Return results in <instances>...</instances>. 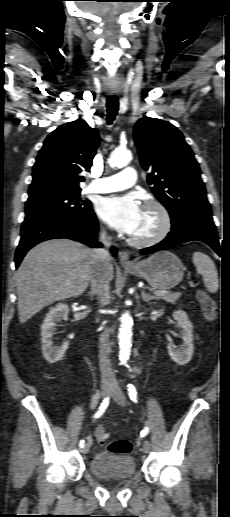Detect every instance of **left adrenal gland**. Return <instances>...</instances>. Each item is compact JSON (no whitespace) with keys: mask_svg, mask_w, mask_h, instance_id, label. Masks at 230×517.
<instances>
[{"mask_svg":"<svg viewBox=\"0 0 230 517\" xmlns=\"http://www.w3.org/2000/svg\"><path fill=\"white\" fill-rule=\"evenodd\" d=\"M141 296H142L143 301H145V302H149L150 300L157 299L155 296L146 294L144 291H141Z\"/></svg>","mask_w":230,"mask_h":517,"instance_id":"left-adrenal-gland-1","label":"left adrenal gland"}]
</instances>
